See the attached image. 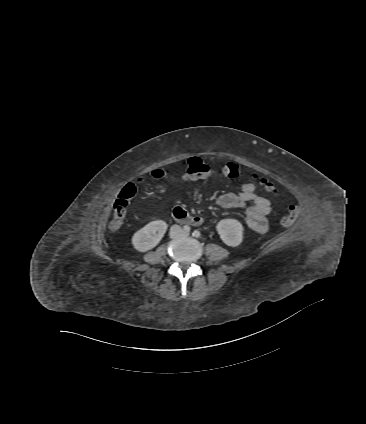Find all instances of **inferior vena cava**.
Returning a JSON list of instances; mask_svg holds the SVG:
<instances>
[{
  "label": "inferior vena cava",
  "mask_w": 366,
  "mask_h": 424,
  "mask_svg": "<svg viewBox=\"0 0 366 424\" xmlns=\"http://www.w3.org/2000/svg\"><path fill=\"white\" fill-rule=\"evenodd\" d=\"M181 231V227L179 225H173L171 227L170 235L171 237H176L177 232Z\"/></svg>",
  "instance_id": "1"
}]
</instances>
